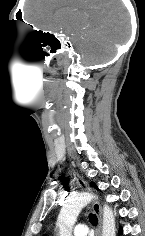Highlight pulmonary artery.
I'll list each match as a JSON object with an SVG mask.
<instances>
[{"mask_svg":"<svg viewBox=\"0 0 145 236\" xmlns=\"http://www.w3.org/2000/svg\"><path fill=\"white\" fill-rule=\"evenodd\" d=\"M87 232H88V228L84 224H78L73 229L74 236H86Z\"/></svg>","mask_w":145,"mask_h":236,"instance_id":"1","label":"pulmonary artery"}]
</instances>
